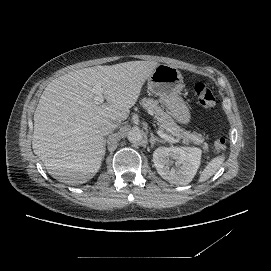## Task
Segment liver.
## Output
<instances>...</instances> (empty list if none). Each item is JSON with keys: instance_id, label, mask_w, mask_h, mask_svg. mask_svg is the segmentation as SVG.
<instances>
[{"instance_id": "liver-1", "label": "liver", "mask_w": 271, "mask_h": 271, "mask_svg": "<svg viewBox=\"0 0 271 271\" xmlns=\"http://www.w3.org/2000/svg\"><path fill=\"white\" fill-rule=\"evenodd\" d=\"M159 63L129 61L71 71L54 79L34 114L32 147L51 177L84 184L100 170L105 155L101 126L122 122L138 102L146 80ZM100 84L107 103L94 101Z\"/></svg>"}]
</instances>
